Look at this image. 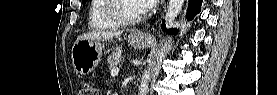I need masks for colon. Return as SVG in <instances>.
Here are the masks:
<instances>
[{
  "label": "colon",
  "instance_id": "colon-1",
  "mask_svg": "<svg viewBox=\"0 0 277 95\" xmlns=\"http://www.w3.org/2000/svg\"><path fill=\"white\" fill-rule=\"evenodd\" d=\"M80 95H97L98 90L96 89L95 86L91 84H85L81 90H80Z\"/></svg>",
  "mask_w": 277,
  "mask_h": 95
}]
</instances>
